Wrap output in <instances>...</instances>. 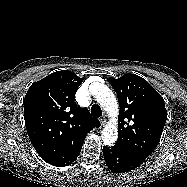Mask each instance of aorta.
I'll return each instance as SVG.
<instances>
[{
	"mask_svg": "<svg viewBox=\"0 0 187 187\" xmlns=\"http://www.w3.org/2000/svg\"><path fill=\"white\" fill-rule=\"evenodd\" d=\"M91 91L94 94L97 102L112 117L113 121L105 126L101 134L104 145L112 146L118 138V129L115 119L118 116L119 112L117 100L113 92L103 84H93L91 86Z\"/></svg>",
	"mask_w": 187,
	"mask_h": 187,
	"instance_id": "obj_1",
	"label": "aorta"
}]
</instances>
